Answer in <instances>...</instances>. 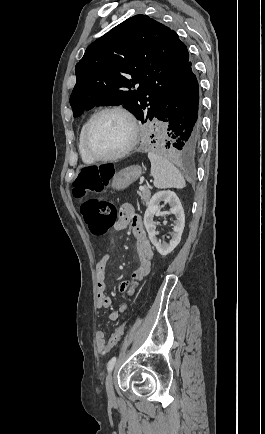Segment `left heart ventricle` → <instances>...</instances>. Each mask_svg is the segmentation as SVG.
Segmentation results:
<instances>
[{"mask_svg":"<svg viewBox=\"0 0 265 434\" xmlns=\"http://www.w3.org/2000/svg\"><path fill=\"white\" fill-rule=\"evenodd\" d=\"M131 135L129 120L122 113L109 112L97 120L91 136V145L100 155H113L128 146Z\"/></svg>","mask_w":265,"mask_h":434,"instance_id":"obj_1","label":"left heart ventricle"}]
</instances>
